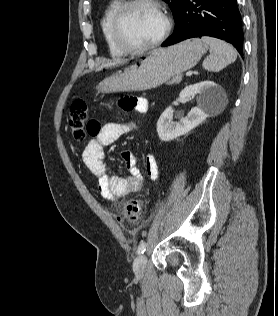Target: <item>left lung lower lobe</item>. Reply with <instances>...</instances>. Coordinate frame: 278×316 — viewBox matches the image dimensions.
Masks as SVG:
<instances>
[{
	"label": "left lung lower lobe",
	"mask_w": 278,
	"mask_h": 316,
	"mask_svg": "<svg viewBox=\"0 0 278 316\" xmlns=\"http://www.w3.org/2000/svg\"><path fill=\"white\" fill-rule=\"evenodd\" d=\"M201 36L225 40L242 55L244 35L236 0H184L174 32L162 46Z\"/></svg>",
	"instance_id": "left-lung-lower-lobe-1"
}]
</instances>
